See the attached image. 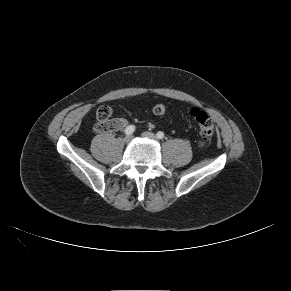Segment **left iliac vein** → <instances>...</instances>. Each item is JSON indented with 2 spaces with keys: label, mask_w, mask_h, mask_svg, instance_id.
<instances>
[{
  "label": "left iliac vein",
  "mask_w": 291,
  "mask_h": 291,
  "mask_svg": "<svg viewBox=\"0 0 291 291\" xmlns=\"http://www.w3.org/2000/svg\"><path fill=\"white\" fill-rule=\"evenodd\" d=\"M142 136L151 140H157L156 136L151 132H144Z\"/></svg>",
  "instance_id": "left-iliac-vein-1"
}]
</instances>
